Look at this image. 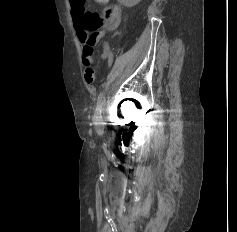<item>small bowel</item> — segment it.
<instances>
[{"label":"small bowel","mask_w":237,"mask_h":232,"mask_svg":"<svg viewBox=\"0 0 237 232\" xmlns=\"http://www.w3.org/2000/svg\"><path fill=\"white\" fill-rule=\"evenodd\" d=\"M93 1L98 4H103V3H106L108 0H93ZM111 7L115 10L116 15L111 19L105 20L103 31L101 32V34H103L104 31H110V30L115 29L120 22V14H121L120 8L118 6H111ZM79 39L81 43H83L84 79L88 84H90L93 82L94 76H95L94 59L92 57L94 44L80 38V36H79ZM108 53H109V48L108 46H105L103 57H106Z\"/></svg>","instance_id":"1"}]
</instances>
